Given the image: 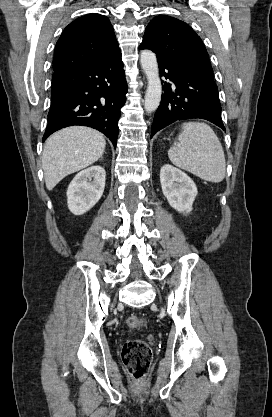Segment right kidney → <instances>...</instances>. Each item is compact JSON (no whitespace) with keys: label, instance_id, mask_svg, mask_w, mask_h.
Instances as JSON below:
<instances>
[{"label":"right kidney","instance_id":"ca27d5eb","mask_svg":"<svg viewBox=\"0 0 272 417\" xmlns=\"http://www.w3.org/2000/svg\"><path fill=\"white\" fill-rule=\"evenodd\" d=\"M106 172L101 166H92L79 172L67 189V205L74 215L89 211L101 198L105 188Z\"/></svg>","mask_w":272,"mask_h":417}]
</instances>
